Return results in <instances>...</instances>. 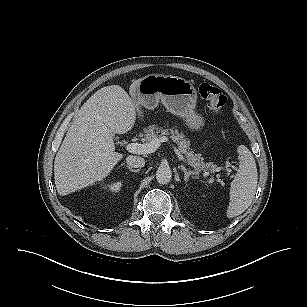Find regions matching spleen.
Returning <instances> with one entry per match:
<instances>
[{
    "mask_svg": "<svg viewBox=\"0 0 307 307\" xmlns=\"http://www.w3.org/2000/svg\"><path fill=\"white\" fill-rule=\"evenodd\" d=\"M239 154V169L231 182L230 202L227 217L233 218L242 214L252 203L257 183L258 174L255 159L249 149L244 145L237 148Z\"/></svg>",
    "mask_w": 307,
    "mask_h": 307,
    "instance_id": "obj_1",
    "label": "spleen"
}]
</instances>
